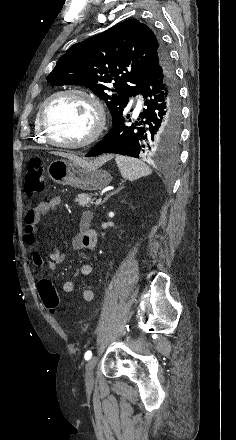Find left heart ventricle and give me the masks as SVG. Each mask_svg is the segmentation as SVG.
Segmentation results:
<instances>
[{
    "mask_svg": "<svg viewBox=\"0 0 236 440\" xmlns=\"http://www.w3.org/2000/svg\"><path fill=\"white\" fill-rule=\"evenodd\" d=\"M51 137L59 142L75 143L85 139L94 125V113L87 101L75 96L53 100L45 115Z\"/></svg>",
    "mask_w": 236,
    "mask_h": 440,
    "instance_id": "1",
    "label": "left heart ventricle"
}]
</instances>
